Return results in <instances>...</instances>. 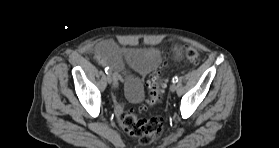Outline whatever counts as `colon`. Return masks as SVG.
Here are the masks:
<instances>
[{
    "label": "colon",
    "instance_id": "1",
    "mask_svg": "<svg viewBox=\"0 0 279 148\" xmlns=\"http://www.w3.org/2000/svg\"><path fill=\"white\" fill-rule=\"evenodd\" d=\"M185 58L193 65H196L200 56L196 49L192 47L181 49ZM164 80L159 71L153 72L148 81V99L147 106L153 107L159 103L163 89ZM121 127L125 132L137 138L140 145H149L158 140L164 128V122L161 117L142 118L134 111L123 112L119 117Z\"/></svg>",
    "mask_w": 279,
    "mask_h": 148
}]
</instances>
